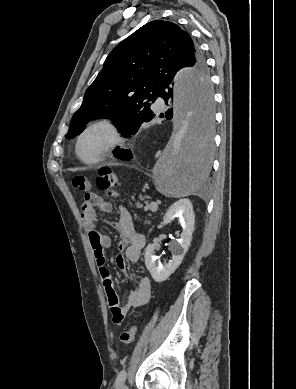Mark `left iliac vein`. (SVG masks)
Wrapping results in <instances>:
<instances>
[{
  "instance_id": "1",
  "label": "left iliac vein",
  "mask_w": 296,
  "mask_h": 389,
  "mask_svg": "<svg viewBox=\"0 0 296 389\" xmlns=\"http://www.w3.org/2000/svg\"><path fill=\"white\" fill-rule=\"evenodd\" d=\"M120 389H128L127 385L122 383L121 386H120Z\"/></svg>"
}]
</instances>
